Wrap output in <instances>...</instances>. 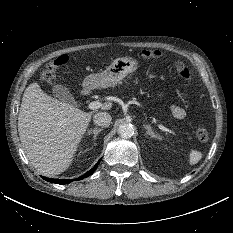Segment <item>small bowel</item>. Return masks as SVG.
<instances>
[{
	"label": "small bowel",
	"instance_id": "c3829d8e",
	"mask_svg": "<svg viewBox=\"0 0 233 233\" xmlns=\"http://www.w3.org/2000/svg\"><path fill=\"white\" fill-rule=\"evenodd\" d=\"M171 112H172V115L177 119H183L186 116L185 109L178 105H172Z\"/></svg>",
	"mask_w": 233,
	"mask_h": 233
}]
</instances>
